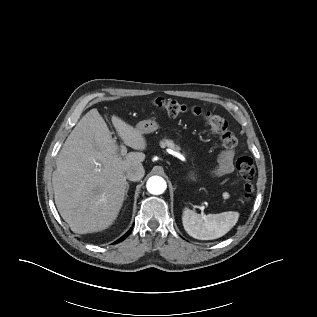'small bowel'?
<instances>
[{"instance_id": "1", "label": "small bowel", "mask_w": 317, "mask_h": 317, "mask_svg": "<svg viewBox=\"0 0 317 317\" xmlns=\"http://www.w3.org/2000/svg\"><path fill=\"white\" fill-rule=\"evenodd\" d=\"M234 151L225 150L220 153L217 161V165L213 169L215 176H224L230 174L233 169Z\"/></svg>"}]
</instances>
